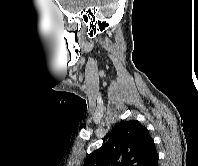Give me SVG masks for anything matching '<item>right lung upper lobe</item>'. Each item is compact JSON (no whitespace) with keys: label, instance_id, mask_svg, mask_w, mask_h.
Segmentation results:
<instances>
[{"label":"right lung upper lobe","instance_id":"1","mask_svg":"<svg viewBox=\"0 0 198 166\" xmlns=\"http://www.w3.org/2000/svg\"><path fill=\"white\" fill-rule=\"evenodd\" d=\"M157 154L148 130L136 120L122 121L83 166H146Z\"/></svg>","mask_w":198,"mask_h":166}]
</instances>
